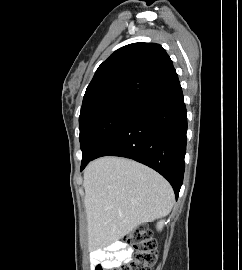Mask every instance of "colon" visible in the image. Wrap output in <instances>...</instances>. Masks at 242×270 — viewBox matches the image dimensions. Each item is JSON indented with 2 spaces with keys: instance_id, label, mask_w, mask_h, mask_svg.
Wrapping results in <instances>:
<instances>
[{
  "instance_id": "1",
  "label": "colon",
  "mask_w": 242,
  "mask_h": 270,
  "mask_svg": "<svg viewBox=\"0 0 242 270\" xmlns=\"http://www.w3.org/2000/svg\"><path fill=\"white\" fill-rule=\"evenodd\" d=\"M123 243L131 247L132 254L129 261L120 264L117 270H152L157 261V244L149 230L138 226L125 236ZM94 270H102L101 265L96 264Z\"/></svg>"
}]
</instances>
